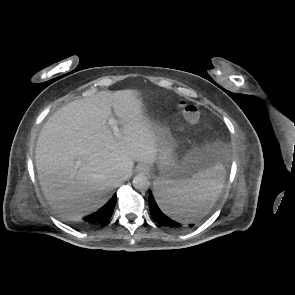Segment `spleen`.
Returning <instances> with one entry per match:
<instances>
[{"mask_svg":"<svg viewBox=\"0 0 295 295\" xmlns=\"http://www.w3.org/2000/svg\"><path fill=\"white\" fill-rule=\"evenodd\" d=\"M225 174L224 166L217 163L188 179H157L154 182L157 203L165 214L176 220H197L217 200L224 186Z\"/></svg>","mask_w":295,"mask_h":295,"instance_id":"1","label":"spleen"}]
</instances>
